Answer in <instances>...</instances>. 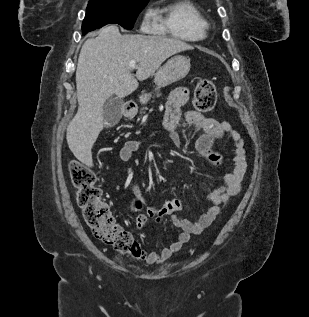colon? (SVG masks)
<instances>
[{
    "label": "colon",
    "mask_w": 309,
    "mask_h": 317,
    "mask_svg": "<svg viewBox=\"0 0 309 317\" xmlns=\"http://www.w3.org/2000/svg\"><path fill=\"white\" fill-rule=\"evenodd\" d=\"M216 99L214 83L209 79L200 80L194 90L195 108L201 112H208L214 108ZM69 172L71 181L77 189V203L94 235L134 260L143 259L144 251L141 245L115 221L109 206L103 201L102 191L96 184L95 173L76 160L70 163Z\"/></svg>",
    "instance_id": "obj_1"
}]
</instances>
